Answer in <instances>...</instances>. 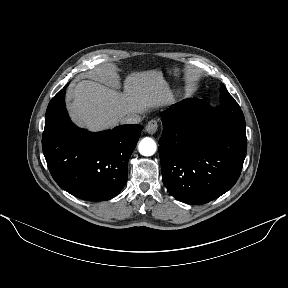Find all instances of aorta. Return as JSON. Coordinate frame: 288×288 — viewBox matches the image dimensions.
I'll list each match as a JSON object with an SVG mask.
<instances>
[{"mask_svg":"<svg viewBox=\"0 0 288 288\" xmlns=\"http://www.w3.org/2000/svg\"><path fill=\"white\" fill-rule=\"evenodd\" d=\"M156 149L155 141L149 137L143 138L138 145V150L143 156H152L156 152Z\"/></svg>","mask_w":288,"mask_h":288,"instance_id":"762f6f07","label":"aorta"}]
</instances>
